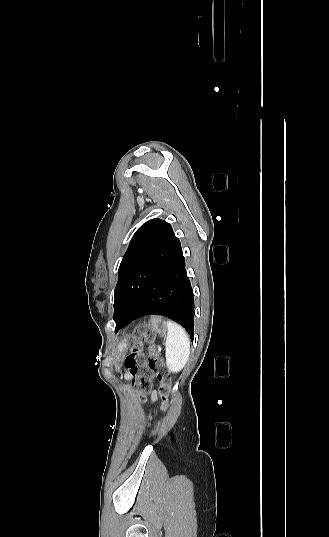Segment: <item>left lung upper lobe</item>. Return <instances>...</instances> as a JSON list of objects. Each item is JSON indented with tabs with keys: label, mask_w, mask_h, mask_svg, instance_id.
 <instances>
[{
	"label": "left lung upper lobe",
	"mask_w": 329,
	"mask_h": 537,
	"mask_svg": "<svg viewBox=\"0 0 329 537\" xmlns=\"http://www.w3.org/2000/svg\"><path fill=\"white\" fill-rule=\"evenodd\" d=\"M181 249L171 225L163 220L151 219L135 232L119 266L114 291L115 331L156 274Z\"/></svg>",
	"instance_id": "5c2ea615"
}]
</instances>
